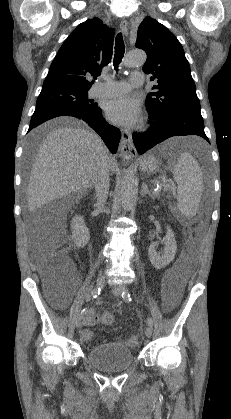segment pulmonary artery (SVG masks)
Here are the masks:
<instances>
[{
  "label": "pulmonary artery",
  "instance_id": "e3ab8cb5",
  "mask_svg": "<svg viewBox=\"0 0 231 419\" xmlns=\"http://www.w3.org/2000/svg\"><path fill=\"white\" fill-rule=\"evenodd\" d=\"M145 81L144 75L141 72H134L130 75L128 81H112L96 84L89 92L91 97H115L127 93L133 87L143 85Z\"/></svg>",
  "mask_w": 231,
  "mask_h": 419
}]
</instances>
